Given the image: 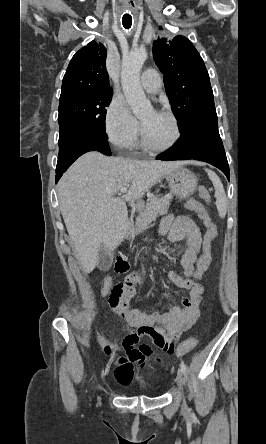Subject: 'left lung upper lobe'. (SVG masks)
<instances>
[{
	"label": "left lung upper lobe",
	"instance_id": "obj_1",
	"mask_svg": "<svg viewBox=\"0 0 266 444\" xmlns=\"http://www.w3.org/2000/svg\"><path fill=\"white\" fill-rule=\"evenodd\" d=\"M153 56L164 74L166 94L181 129L193 118L215 110L209 74L190 40L159 38L153 43Z\"/></svg>",
	"mask_w": 266,
	"mask_h": 444
}]
</instances>
